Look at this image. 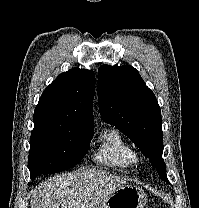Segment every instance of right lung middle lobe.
Instances as JSON below:
<instances>
[{
  "mask_svg": "<svg viewBox=\"0 0 199 208\" xmlns=\"http://www.w3.org/2000/svg\"><path fill=\"white\" fill-rule=\"evenodd\" d=\"M93 134V126L34 122L28 160L31 178L74 167L87 152Z\"/></svg>",
  "mask_w": 199,
  "mask_h": 208,
  "instance_id": "1",
  "label": "right lung middle lobe"
}]
</instances>
